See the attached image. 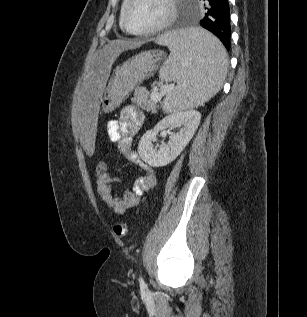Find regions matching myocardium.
Segmentation results:
<instances>
[{
	"instance_id": "1",
	"label": "myocardium",
	"mask_w": 307,
	"mask_h": 317,
	"mask_svg": "<svg viewBox=\"0 0 307 317\" xmlns=\"http://www.w3.org/2000/svg\"><path fill=\"white\" fill-rule=\"evenodd\" d=\"M133 2H134V0H127L125 6L123 7L122 13H121V25H122L123 29L131 35L148 36V35L156 34L160 31L164 30L165 28H167L169 25H171L176 18L177 9H176L175 0H166L167 4L169 6V13H168L167 17L161 23H159V24L155 25L154 27L147 29V30L133 31L128 27L127 20H126L127 11Z\"/></svg>"
}]
</instances>
